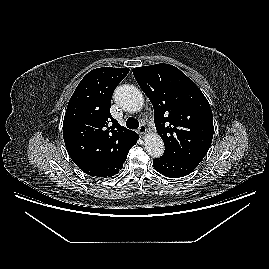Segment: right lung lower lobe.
Returning a JSON list of instances; mask_svg holds the SVG:
<instances>
[{
	"instance_id": "1",
	"label": "right lung lower lobe",
	"mask_w": 269,
	"mask_h": 269,
	"mask_svg": "<svg viewBox=\"0 0 269 269\" xmlns=\"http://www.w3.org/2000/svg\"><path fill=\"white\" fill-rule=\"evenodd\" d=\"M138 138H139V136L137 135V137L134 139L133 145L136 144ZM133 145H132V146H133Z\"/></svg>"
}]
</instances>
